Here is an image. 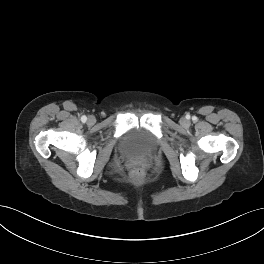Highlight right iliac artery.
Returning a JSON list of instances; mask_svg holds the SVG:
<instances>
[{
    "label": "right iliac artery",
    "mask_w": 264,
    "mask_h": 264,
    "mask_svg": "<svg viewBox=\"0 0 264 264\" xmlns=\"http://www.w3.org/2000/svg\"><path fill=\"white\" fill-rule=\"evenodd\" d=\"M86 120H87V117H86V116H82V117H81V121H82V122H85Z\"/></svg>",
    "instance_id": "right-iliac-artery-1"
}]
</instances>
